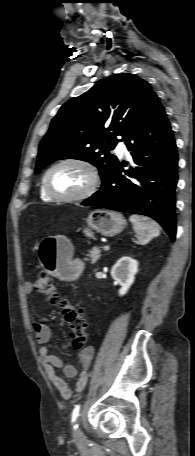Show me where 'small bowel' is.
Wrapping results in <instances>:
<instances>
[{"mask_svg": "<svg viewBox=\"0 0 195 456\" xmlns=\"http://www.w3.org/2000/svg\"><path fill=\"white\" fill-rule=\"evenodd\" d=\"M24 291L29 294L32 291L30 284L24 286ZM34 333L36 340L39 344L43 346L39 349V357L41 363L45 369L46 375L51 383L60 393L61 397L68 399L72 395V391L68 383L56 373V369H61L64 375L68 378L77 379L76 391H82L88 381V374L83 372H78V370L71 364L64 362L56 355L52 354L49 349L45 346L46 343L50 340V329L47 325L36 322L33 325ZM94 356V347H87L81 354V363L85 369L91 367L92 360Z\"/></svg>", "mask_w": 195, "mask_h": 456, "instance_id": "small-bowel-1", "label": "small bowel"}]
</instances>
